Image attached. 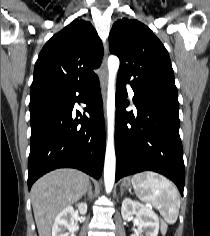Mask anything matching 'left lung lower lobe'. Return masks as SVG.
Masks as SVG:
<instances>
[{"label": "left lung lower lobe", "instance_id": "0a47b994", "mask_svg": "<svg viewBox=\"0 0 210 236\" xmlns=\"http://www.w3.org/2000/svg\"><path fill=\"white\" fill-rule=\"evenodd\" d=\"M125 82L117 78L116 178L155 171L171 179L183 195L185 166L179 136L178 96L134 91L137 117L126 112Z\"/></svg>", "mask_w": 210, "mask_h": 236}]
</instances>
